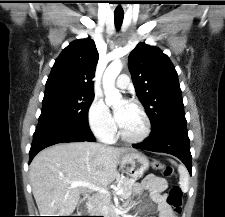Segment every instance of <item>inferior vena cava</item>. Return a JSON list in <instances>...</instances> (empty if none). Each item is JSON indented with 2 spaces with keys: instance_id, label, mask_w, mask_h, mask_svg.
<instances>
[{
  "instance_id": "obj_1",
  "label": "inferior vena cava",
  "mask_w": 225,
  "mask_h": 217,
  "mask_svg": "<svg viewBox=\"0 0 225 217\" xmlns=\"http://www.w3.org/2000/svg\"><path fill=\"white\" fill-rule=\"evenodd\" d=\"M96 211H97V212H100V209H99V208H97V209H96Z\"/></svg>"
}]
</instances>
